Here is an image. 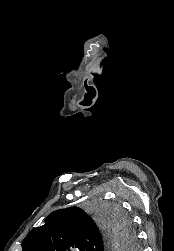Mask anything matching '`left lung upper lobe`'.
Returning <instances> with one entry per match:
<instances>
[{"label":"left lung upper lobe","mask_w":174,"mask_h":251,"mask_svg":"<svg viewBox=\"0 0 174 251\" xmlns=\"http://www.w3.org/2000/svg\"><path fill=\"white\" fill-rule=\"evenodd\" d=\"M134 241L131 221L119 208L97 206L91 218L74 206L54 211L43 226L31 230L22 251H106L132 246Z\"/></svg>","instance_id":"1"}]
</instances>
